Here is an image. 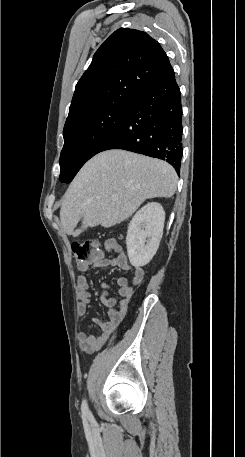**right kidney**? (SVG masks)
Here are the masks:
<instances>
[{"instance_id": "right-kidney-1", "label": "right kidney", "mask_w": 245, "mask_h": 457, "mask_svg": "<svg viewBox=\"0 0 245 457\" xmlns=\"http://www.w3.org/2000/svg\"><path fill=\"white\" fill-rule=\"evenodd\" d=\"M165 212L159 202H148L129 222L126 247L131 265L149 263L162 239ZM144 267V265H143Z\"/></svg>"}]
</instances>
